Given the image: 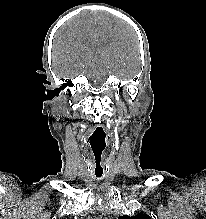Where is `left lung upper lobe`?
<instances>
[{"mask_svg":"<svg viewBox=\"0 0 206 219\" xmlns=\"http://www.w3.org/2000/svg\"><path fill=\"white\" fill-rule=\"evenodd\" d=\"M118 219H151V217L147 214H144V213H138L137 215H135L133 217L123 215V216L119 217Z\"/></svg>","mask_w":206,"mask_h":219,"instance_id":"obj_1","label":"left lung upper lobe"}]
</instances>
